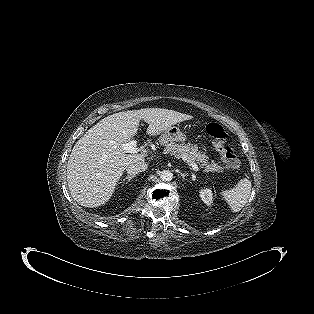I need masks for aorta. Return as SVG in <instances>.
Here are the masks:
<instances>
[{
	"mask_svg": "<svg viewBox=\"0 0 314 314\" xmlns=\"http://www.w3.org/2000/svg\"><path fill=\"white\" fill-rule=\"evenodd\" d=\"M160 178L162 181H171L173 179V173L169 170H163L160 172Z\"/></svg>",
	"mask_w": 314,
	"mask_h": 314,
	"instance_id": "1",
	"label": "aorta"
}]
</instances>
